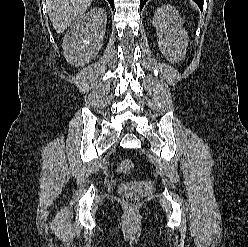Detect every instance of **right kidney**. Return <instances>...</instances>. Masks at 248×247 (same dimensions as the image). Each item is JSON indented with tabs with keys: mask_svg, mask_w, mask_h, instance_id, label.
I'll return each mask as SVG.
<instances>
[{
	"mask_svg": "<svg viewBox=\"0 0 248 247\" xmlns=\"http://www.w3.org/2000/svg\"><path fill=\"white\" fill-rule=\"evenodd\" d=\"M106 22V11L94 8L70 26L62 46L69 64L83 66L98 54L103 46Z\"/></svg>",
	"mask_w": 248,
	"mask_h": 247,
	"instance_id": "1",
	"label": "right kidney"
}]
</instances>
